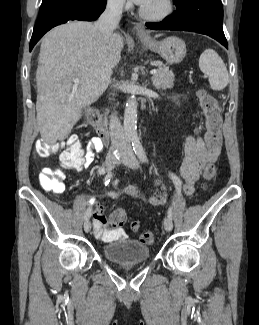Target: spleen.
Returning <instances> with one entry per match:
<instances>
[{"instance_id":"spleen-1","label":"spleen","mask_w":259,"mask_h":325,"mask_svg":"<svg viewBox=\"0 0 259 325\" xmlns=\"http://www.w3.org/2000/svg\"><path fill=\"white\" fill-rule=\"evenodd\" d=\"M199 68L208 76L210 86L213 90H223L229 82L227 68L213 49H206L200 56Z\"/></svg>"}]
</instances>
